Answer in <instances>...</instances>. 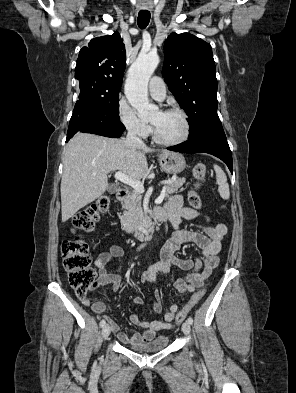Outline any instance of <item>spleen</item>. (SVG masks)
<instances>
[{"label": "spleen", "instance_id": "spleen-1", "mask_svg": "<svg viewBox=\"0 0 296 393\" xmlns=\"http://www.w3.org/2000/svg\"><path fill=\"white\" fill-rule=\"evenodd\" d=\"M214 170L216 173L218 192L223 199L228 200L230 197V191H229V185L227 183L226 174L218 165H214Z\"/></svg>", "mask_w": 296, "mask_h": 393}]
</instances>
